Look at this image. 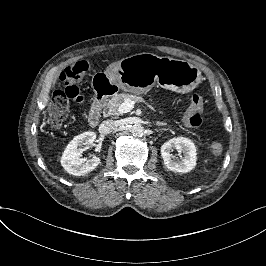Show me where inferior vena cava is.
Listing matches in <instances>:
<instances>
[{"mask_svg":"<svg viewBox=\"0 0 266 266\" xmlns=\"http://www.w3.org/2000/svg\"><path fill=\"white\" fill-rule=\"evenodd\" d=\"M98 131L101 134H110L115 131V124L112 120H106L100 123Z\"/></svg>","mask_w":266,"mask_h":266,"instance_id":"obj_1","label":"inferior vena cava"}]
</instances>
